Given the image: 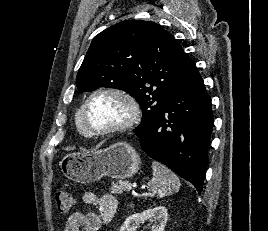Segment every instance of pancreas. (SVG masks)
<instances>
[{
	"label": "pancreas",
	"mask_w": 268,
	"mask_h": 231,
	"mask_svg": "<svg viewBox=\"0 0 268 231\" xmlns=\"http://www.w3.org/2000/svg\"><path fill=\"white\" fill-rule=\"evenodd\" d=\"M126 189V184L123 182H112L110 190L113 194H122Z\"/></svg>",
	"instance_id": "1"
}]
</instances>
